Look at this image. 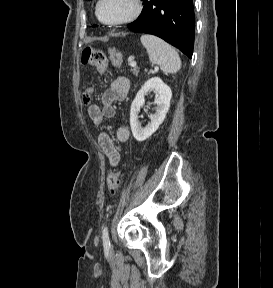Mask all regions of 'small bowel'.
<instances>
[{"label":"small bowel","mask_w":273,"mask_h":288,"mask_svg":"<svg viewBox=\"0 0 273 288\" xmlns=\"http://www.w3.org/2000/svg\"><path fill=\"white\" fill-rule=\"evenodd\" d=\"M130 82L125 77H118L111 82L101 97V106L92 104L88 108V114L93 123L100 127L105 120H110L115 116L114 103L124 100L128 94ZM116 138L119 142H126L129 138V131L126 127H119L116 131ZM98 144L109 158L110 164L116 166L120 156L110 134L101 130L98 134Z\"/></svg>","instance_id":"c3829d8e"}]
</instances>
